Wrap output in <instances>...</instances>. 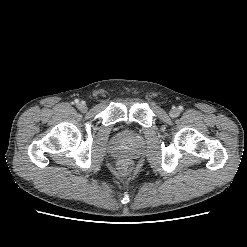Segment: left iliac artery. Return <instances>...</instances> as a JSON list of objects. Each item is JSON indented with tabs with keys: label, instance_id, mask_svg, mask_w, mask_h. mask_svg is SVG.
<instances>
[{
	"label": "left iliac artery",
	"instance_id": "left-iliac-artery-1",
	"mask_svg": "<svg viewBox=\"0 0 247 247\" xmlns=\"http://www.w3.org/2000/svg\"><path fill=\"white\" fill-rule=\"evenodd\" d=\"M179 109L182 110L183 108L180 106Z\"/></svg>",
	"mask_w": 247,
	"mask_h": 247
}]
</instances>
